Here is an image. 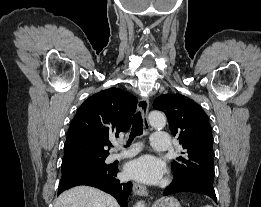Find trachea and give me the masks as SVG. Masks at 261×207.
<instances>
[{"label": "trachea", "instance_id": "trachea-1", "mask_svg": "<svg viewBox=\"0 0 261 207\" xmlns=\"http://www.w3.org/2000/svg\"><path fill=\"white\" fill-rule=\"evenodd\" d=\"M132 123L133 125L127 144H130L136 136H140L143 132V120L140 111L134 115Z\"/></svg>", "mask_w": 261, "mask_h": 207}]
</instances>
